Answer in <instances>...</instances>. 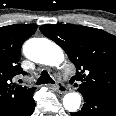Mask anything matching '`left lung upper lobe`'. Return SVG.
Returning <instances> with one entry per match:
<instances>
[{
  "instance_id": "5c2ea615",
  "label": "left lung upper lobe",
  "mask_w": 116,
  "mask_h": 116,
  "mask_svg": "<svg viewBox=\"0 0 116 116\" xmlns=\"http://www.w3.org/2000/svg\"><path fill=\"white\" fill-rule=\"evenodd\" d=\"M40 30L63 48L75 65L77 72L70 83L81 94L116 97V36L100 29L72 24H46Z\"/></svg>"
}]
</instances>
